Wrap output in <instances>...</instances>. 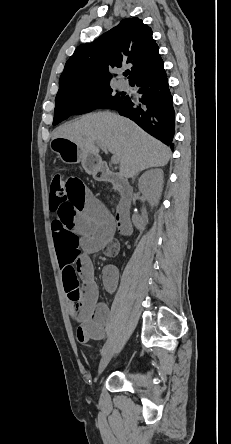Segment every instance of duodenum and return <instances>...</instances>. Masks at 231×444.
Here are the masks:
<instances>
[{"label": "duodenum", "instance_id": "duodenum-1", "mask_svg": "<svg viewBox=\"0 0 231 444\" xmlns=\"http://www.w3.org/2000/svg\"><path fill=\"white\" fill-rule=\"evenodd\" d=\"M96 174L103 180L115 184L120 192L121 201L117 208L115 225L122 236H129L132 231L130 206L133 197V188L121 175L102 164Z\"/></svg>", "mask_w": 231, "mask_h": 444}]
</instances>
